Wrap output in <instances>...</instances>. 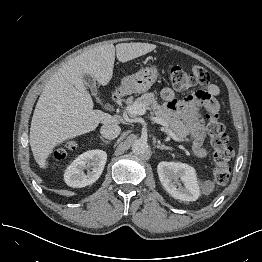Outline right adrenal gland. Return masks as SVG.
<instances>
[{
	"label": "right adrenal gland",
	"instance_id": "right-adrenal-gland-1",
	"mask_svg": "<svg viewBox=\"0 0 262 262\" xmlns=\"http://www.w3.org/2000/svg\"><path fill=\"white\" fill-rule=\"evenodd\" d=\"M99 138L106 144H109L111 141L105 140L102 136H99Z\"/></svg>",
	"mask_w": 262,
	"mask_h": 262
}]
</instances>
